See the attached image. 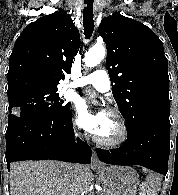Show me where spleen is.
I'll use <instances>...</instances> for the list:
<instances>
[{"instance_id":"spleen-1","label":"spleen","mask_w":178,"mask_h":195,"mask_svg":"<svg viewBox=\"0 0 178 195\" xmlns=\"http://www.w3.org/2000/svg\"><path fill=\"white\" fill-rule=\"evenodd\" d=\"M147 184L149 185L152 192H157L160 189L161 181L157 175H148Z\"/></svg>"}]
</instances>
